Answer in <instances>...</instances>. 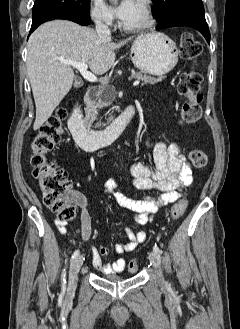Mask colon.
Returning <instances> with one entry per match:
<instances>
[{"label": "colon", "instance_id": "5ec220e1", "mask_svg": "<svg viewBox=\"0 0 240 329\" xmlns=\"http://www.w3.org/2000/svg\"><path fill=\"white\" fill-rule=\"evenodd\" d=\"M202 51L200 42L190 33L182 37L181 54L187 60H194ZM201 75L194 69L184 74L178 84L185 102L181 108L180 120L184 125L196 123L201 116ZM66 116L64 107H58L42 125L40 131L34 136L31 144L33 177L37 181L45 205L62 222L72 221L76 217L75 202L78 196L73 192L72 181L66 171L48 162L47 154L60 142L64 128L63 122ZM189 158L196 168H203L207 164V156L204 150L196 145L189 151ZM187 208L185 197L180 198L171 208V216L178 219ZM138 262L132 260L128 264L131 273L138 270Z\"/></svg>", "mask_w": 240, "mask_h": 329}]
</instances>
